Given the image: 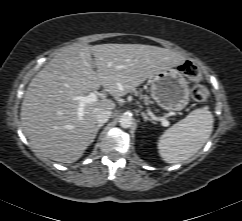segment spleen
Wrapping results in <instances>:
<instances>
[{
  "label": "spleen",
  "mask_w": 242,
  "mask_h": 221,
  "mask_svg": "<svg viewBox=\"0 0 242 221\" xmlns=\"http://www.w3.org/2000/svg\"><path fill=\"white\" fill-rule=\"evenodd\" d=\"M213 122L210 111L204 108L191 111L161 135L157 144L161 158L176 164L192 157L210 137Z\"/></svg>",
  "instance_id": "1"
}]
</instances>
